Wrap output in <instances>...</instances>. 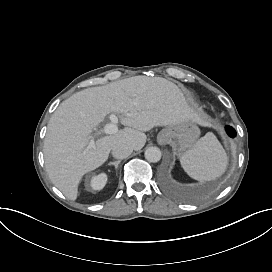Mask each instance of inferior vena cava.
Instances as JSON below:
<instances>
[{
    "mask_svg": "<svg viewBox=\"0 0 272 272\" xmlns=\"http://www.w3.org/2000/svg\"><path fill=\"white\" fill-rule=\"evenodd\" d=\"M133 151V148L127 144L119 143L112 148V155L117 159L128 157Z\"/></svg>",
    "mask_w": 272,
    "mask_h": 272,
    "instance_id": "1",
    "label": "inferior vena cava"
}]
</instances>
